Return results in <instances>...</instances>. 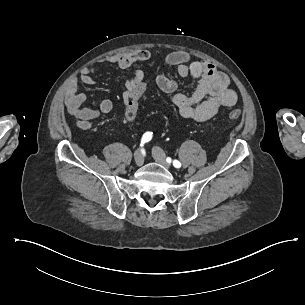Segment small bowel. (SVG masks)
I'll return each instance as SVG.
<instances>
[{"label":"small bowel","instance_id":"obj_1","mask_svg":"<svg viewBox=\"0 0 305 305\" xmlns=\"http://www.w3.org/2000/svg\"><path fill=\"white\" fill-rule=\"evenodd\" d=\"M151 53L147 49H139L128 53H117L106 56L100 60L102 63L115 64L121 69H132L138 62L148 60ZM190 55L185 51H175L165 57V63L176 66L177 74L180 77L192 76L197 80L195 90L191 95L175 93L178 84L175 80L167 78L162 74H156L155 82L165 93L171 94V101L178 109L180 115L186 119L197 122H204L215 116L221 108L231 107L237 101L235 90L230 87L228 76L218 71L206 60H199L189 63ZM96 72L95 67L84 68L80 82L87 86H94L93 78ZM138 84H146L145 73L140 68H135L134 75L124 84L122 96L125 108L127 99L133 93ZM86 95L78 90V80L73 79L66 92L67 112L76 119L77 126L82 130H90L92 121L102 115L110 113L113 103L110 99H103L98 108H83Z\"/></svg>","mask_w":305,"mask_h":305}]
</instances>
